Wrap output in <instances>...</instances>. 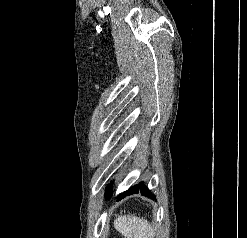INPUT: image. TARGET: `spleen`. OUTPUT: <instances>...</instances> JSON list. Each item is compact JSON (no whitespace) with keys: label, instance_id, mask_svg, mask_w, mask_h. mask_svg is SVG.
<instances>
[{"label":"spleen","instance_id":"3e777b00","mask_svg":"<svg viewBox=\"0 0 247 238\" xmlns=\"http://www.w3.org/2000/svg\"><path fill=\"white\" fill-rule=\"evenodd\" d=\"M115 229L125 238H153V227L146 219L135 215H123L114 220Z\"/></svg>","mask_w":247,"mask_h":238}]
</instances>
